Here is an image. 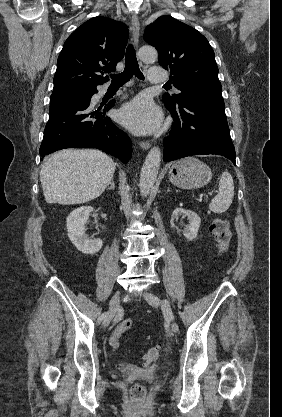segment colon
<instances>
[{
	"instance_id": "obj_1",
	"label": "colon",
	"mask_w": 282,
	"mask_h": 417,
	"mask_svg": "<svg viewBox=\"0 0 282 417\" xmlns=\"http://www.w3.org/2000/svg\"><path fill=\"white\" fill-rule=\"evenodd\" d=\"M210 231L214 236L216 247L220 253H224L230 245L231 233L229 223L225 219L215 218L210 223ZM133 327L132 319H124L120 324L113 330L112 335L109 339V346L112 350H117L120 346L121 337L131 330ZM162 356L161 349L158 346L150 347L144 356V361L148 365H153ZM130 401L131 403H148L149 401V390L146 384H135L134 389L130 390Z\"/></svg>"
}]
</instances>
